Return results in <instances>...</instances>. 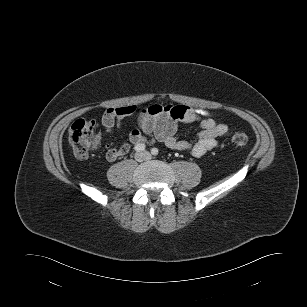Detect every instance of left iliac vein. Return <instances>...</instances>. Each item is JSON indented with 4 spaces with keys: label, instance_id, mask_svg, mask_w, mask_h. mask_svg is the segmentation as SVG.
<instances>
[{
    "label": "left iliac vein",
    "instance_id": "left-iliac-vein-1",
    "mask_svg": "<svg viewBox=\"0 0 307 307\" xmlns=\"http://www.w3.org/2000/svg\"><path fill=\"white\" fill-rule=\"evenodd\" d=\"M144 155L146 156V159H151V156L149 153L145 152Z\"/></svg>",
    "mask_w": 307,
    "mask_h": 307
}]
</instances>
